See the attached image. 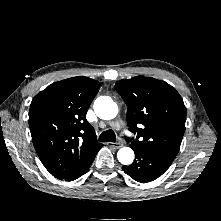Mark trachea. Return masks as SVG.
I'll return each mask as SVG.
<instances>
[{"label":"trachea","instance_id":"trachea-1","mask_svg":"<svg viewBox=\"0 0 221 221\" xmlns=\"http://www.w3.org/2000/svg\"><path fill=\"white\" fill-rule=\"evenodd\" d=\"M100 142H116V135L113 130H106L99 136Z\"/></svg>","mask_w":221,"mask_h":221}]
</instances>
